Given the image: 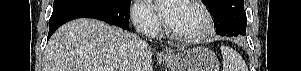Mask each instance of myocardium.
I'll return each mask as SVG.
<instances>
[{
    "label": "myocardium",
    "mask_w": 301,
    "mask_h": 71,
    "mask_svg": "<svg viewBox=\"0 0 301 71\" xmlns=\"http://www.w3.org/2000/svg\"><path fill=\"white\" fill-rule=\"evenodd\" d=\"M182 2L194 8L201 15L203 19V27L196 34L185 35L174 31L169 25H167L168 34L175 40L183 43H197L204 40L210 34L212 28V19L210 14L205 7L197 1L184 0Z\"/></svg>",
    "instance_id": "obj_1"
}]
</instances>
